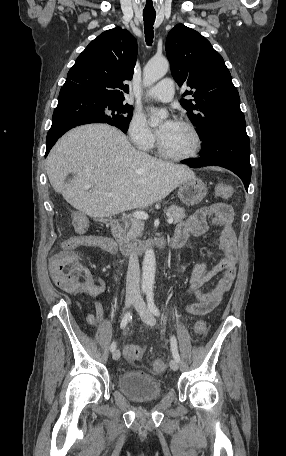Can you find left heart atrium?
Wrapping results in <instances>:
<instances>
[{"label": "left heart atrium", "mask_w": 286, "mask_h": 456, "mask_svg": "<svg viewBox=\"0 0 286 456\" xmlns=\"http://www.w3.org/2000/svg\"><path fill=\"white\" fill-rule=\"evenodd\" d=\"M175 122L169 120L166 123L162 125V127L159 129V137L163 136L174 124Z\"/></svg>", "instance_id": "39dd6f15"}]
</instances>
